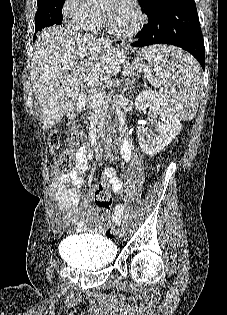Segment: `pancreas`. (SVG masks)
Segmentation results:
<instances>
[{
	"mask_svg": "<svg viewBox=\"0 0 227 315\" xmlns=\"http://www.w3.org/2000/svg\"><path fill=\"white\" fill-rule=\"evenodd\" d=\"M139 73V67H133L129 72H127L128 76L132 75L133 73ZM97 85H100L99 87H97V85H94L93 87L90 86V90L88 91V103H87V108L90 111H93L97 106H98V99L95 97L96 92H103L102 89V82L98 81L96 82ZM103 101V100H102Z\"/></svg>",
	"mask_w": 227,
	"mask_h": 315,
	"instance_id": "pancreas-1",
	"label": "pancreas"
}]
</instances>
